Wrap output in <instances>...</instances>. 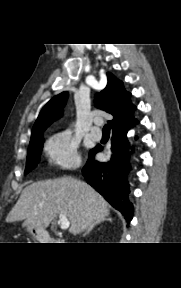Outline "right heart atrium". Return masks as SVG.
I'll use <instances>...</instances> for the list:
<instances>
[{
  "label": "right heart atrium",
  "instance_id": "obj_1",
  "mask_svg": "<svg viewBox=\"0 0 181 288\" xmlns=\"http://www.w3.org/2000/svg\"><path fill=\"white\" fill-rule=\"evenodd\" d=\"M78 141L69 131L53 134L45 144V153L49 162L59 169L76 168L81 158Z\"/></svg>",
  "mask_w": 181,
  "mask_h": 288
}]
</instances>
